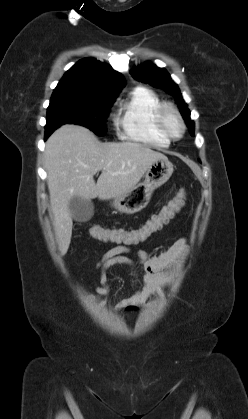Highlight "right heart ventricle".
Here are the masks:
<instances>
[{
  "instance_id": "right-heart-ventricle-1",
  "label": "right heart ventricle",
  "mask_w": 248,
  "mask_h": 419,
  "mask_svg": "<svg viewBox=\"0 0 248 419\" xmlns=\"http://www.w3.org/2000/svg\"><path fill=\"white\" fill-rule=\"evenodd\" d=\"M162 104L159 96L152 90L134 88L120 101L115 116L121 137L154 147L169 145L170 141L156 126V111Z\"/></svg>"
}]
</instances>
